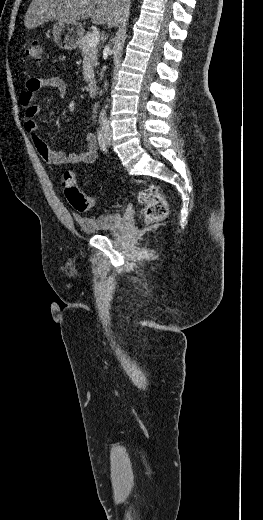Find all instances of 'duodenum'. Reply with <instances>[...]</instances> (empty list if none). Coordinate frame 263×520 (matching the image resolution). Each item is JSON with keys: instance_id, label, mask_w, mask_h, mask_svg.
Segmentation results:
<instances>
[{"instance_id": "obj_1", "label": "duodenum", "mask_w": 263, "mask_h": 520, "mask_svg": "<svg viewBox=\"0 0 263 520\" xmlns=\"http://www.w3.org/2000/svg\"><path fill=\"white\" fill-rule=\"evenodd\" d=\"M97 88H98V84H97V81L94 80V79H91L89 82H88V93L90 96H95L96 93H97Z\"/></svg>"}]
</instances>
